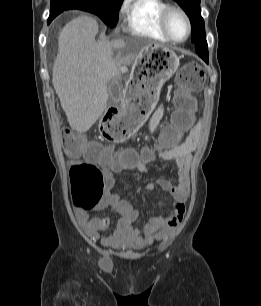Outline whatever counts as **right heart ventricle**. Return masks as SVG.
<instances>
[{"mask_svg":"<svg viewBox=\"0 0 261 306\" xmlns=\"http://www.w3.org/2000/svg\"><path fill=\"white\" fill-rule=\"evenodd\" d=\"M168 6L164 0H126L124 23L130 33L161 42H168L160 26V15Z\"/></svg>","mask_w":261,"mask_h":306,"instance_id":"1","label":"right heart ventricle"}]
</instances>
